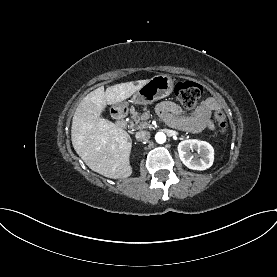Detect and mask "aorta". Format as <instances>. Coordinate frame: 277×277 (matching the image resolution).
<instances>
[{
	"instance_id": "762f6f07",
	"label": "aorta",
	"mask_w": 277,
	"mask_h": 277,
	"mask_svg": "<svg viewBox=\"0 0 277 277\" xmlns=\"http://www.w3.org/2000/svg\"><path fill=\"white\" fill-rule=\"evenodd\" d=\"M155 140L159 144H163L166 141V135L163 132H158L155 135Z\"/></svg>"
}]
</instances>
